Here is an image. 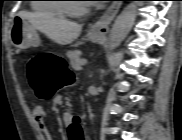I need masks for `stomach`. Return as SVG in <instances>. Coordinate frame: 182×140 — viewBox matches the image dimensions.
I'll use <instances>...</instances> for the list:
<instances>
[{"label": "stomach", "instance_id": "0dacf381", "mask_svg": "<svg viewBox=\"0 0 182 140\" xmlns=\"http://www.w3.org/2000/svg\"><path fill=\"white\" fill-rule=\"evenodd\" d=\"M87 37L92 42H98L102 36L89 31ZM10 39L12 44L19 49L38 46L40 43L37 31L31 26L27 19L20 15L14 17L12 21Z\"/></svg>", "mask_w": 182, "mask_h": 140}]
</instances>
